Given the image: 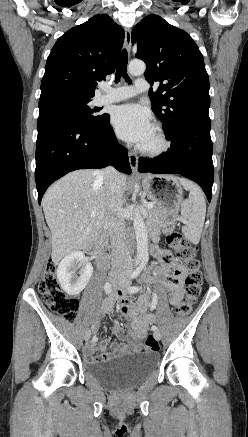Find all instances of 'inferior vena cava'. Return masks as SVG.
<instances>
[{"instance_id": "1", "label": "inferior vena cava", "mask_w": 248, "mask_h": 437, "mask_svg": "<svg viewBox=\"0 0 248 437\" xmlns=\"http://www.w3.org/2000/svg\"><path fill=\"white\" fill-rule=\"evenodd\" d=\"M99 176L104 180L107 202V214L104 224L109 230L112 250V266L130 268L131 259L125 237V222L122 216V190L119 185V173L109 166L99 171Z\"/></svg>"}]
</instances>
